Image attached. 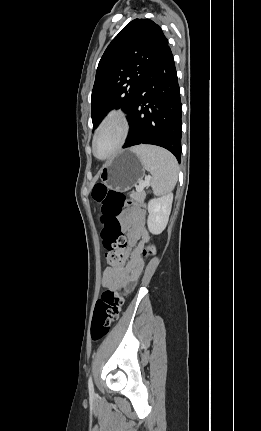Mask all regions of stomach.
Here are the masks:
<instances>
[{
	"label": "stomach",
	"instance_id": "1",
	"mask_svg": "<svg viewBox=\"0 0 261 431\" xmlns=\"http://www.w3.org/2000/svg\"><path fill=\"white\" fill-rule=\"evenodd\" d=\"M145 169L132 150H124L110 159L100 171V178L109 188L127 191L144 177Z\"/></svg>",
	"mask_w": 261,
	"mask_h": 431
}]
</instances>
